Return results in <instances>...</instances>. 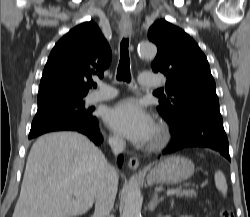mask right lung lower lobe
<instances>
[{"mask_svg":"<svg viewBox=\"0 0 250 217\" xmlns=\"http://www.w3.org/2000/svg\"><path fill=\"white\" fill-rule=\"evenodd\" d=\"M73 131H77V132L87 135L96 145H99L103 140L99 132L98 121L89 128H78ZM122 161H123V157L120 155L118 157L119 166L122 165Z\"/></svg>","mask_w":250,"mask_h":217,"instance_id":"1","label":"right lung lower lobe"}]
</instances>
